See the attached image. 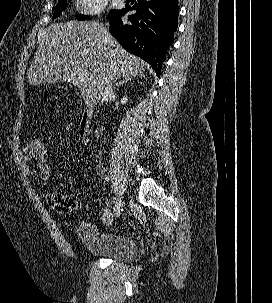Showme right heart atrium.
I'll return each instance as SVG.
<instances>
[{
  "instance_id": "d8ad5b80",
  "label": "right heart atrium",
  "mask_w": 272,
  "mask_h": 303,
  "mask_svg": "<svg viewBox=\"0 0 272 303\" xmlns=\"http://www.w3.org/2000/svg\"><path fill=\"white\" fill-rule=\"evenodd\" d=\"M108 0H77L79 10L87 15H97L102 13Z\"/></svg>"
}]
</instances>
